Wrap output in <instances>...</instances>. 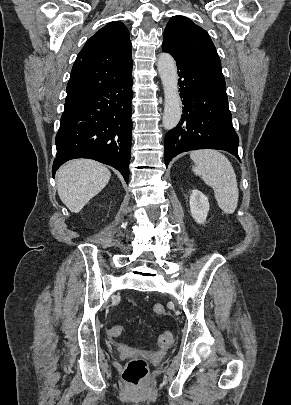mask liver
I'll list each match as a JSON object with an SVG mask.
<instances>
[{
	"mask_svg": "<svg viewBox=\"0 0 291 405\" xmlns=\"http://www.w3.org/2000/svg\"><path fill=\"white\" fill-rule=\"evenodd\" d=\"M110 177V171L97 161H69L57 172L58 195L71 212L78 213L107 185Z\"/></svg>",
	"mask_w": 291,
	"mask_h": 405,
	"instance_id": "obj_1",
	"label": "liver"
}]
</instances>
